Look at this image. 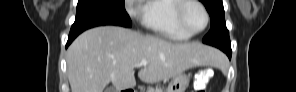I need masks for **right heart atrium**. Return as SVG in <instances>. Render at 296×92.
I'll use <instances>...</instances> for the list:
<instances>
[{
	"mask_svg": "<svg viewBox=\"0 0 296 92\" xmlns=\"http://www.w3.org/2000/svg\"><path fill=\"white\" fill-rule=\"evenodd\" d=\"M127 12L132 18H140L143 13L142 1H126Z\"/></svg>",
	"mask_w": 296,
	"mask_h": 92,
	"instance_id": "right-heart-atrium-1",
	"label": "right heart atrium"
}]
</instances>
